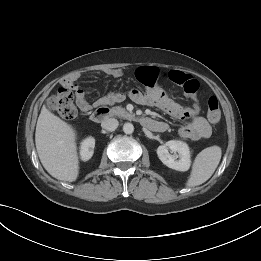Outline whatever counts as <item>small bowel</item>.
Returning a JSON list of instances; mask_svg holds the SVG:
<instances>
[{
  "label": "small bowel",
  "mask_w": 261,
  "mask_h": 261,
  "mask_svg": "<svg viewBox=\"0 0 261 261\" xmlns=\"http://www.w3.org/2000/svg\"><path fill=\"white\" fill-rule=\"evenodd\" d=\"M107 75L119 77L123 71L119 68L108 69L105 71ZM138 79L144 84L151 85L155 82L159 75V71L155 67H141L137 70ZM167 78L172 82L183 87L185 95L191 101V106L184 107L172 99H170L162 89L154 88L146 93L138 89H131L129 97L140 104L155 105L164 112L170 114L177 119L189 120L179 129V135L183 139L198 141L207 139L211 136L212 129L209 122L200 115V105L197 98L199 83L191 75L182 71L171 70L166 74ZM75 90L76 102L83 112H88L91 105L87 101L86 93L79 88L74 80L67 81ZM125 99V95L121 92H111L98 100L99 104L118 103Z\"/></svg>",
  "instance_id": "small-bowel-1"
}]
</instances>
